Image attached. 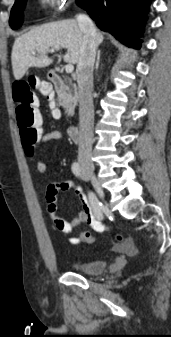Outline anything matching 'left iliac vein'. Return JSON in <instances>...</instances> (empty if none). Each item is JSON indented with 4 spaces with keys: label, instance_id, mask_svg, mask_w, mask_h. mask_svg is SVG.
I'll return each mask as SVG.
<instances>
[{
    "label": "left iliac vein",
    "instance_id": "left-iliac-vein-1",
    "mask_svg": "<svg viewBox=\"0 0 171 337\" xmlns=\"http://www.w3.org/2000/svg\"><path fill=\"white\" fill-rule=\"evenodd\" d=\"M82 178L84 179V180H87L88 179V177L86 176V174L83 172L82 173Z\"/></svg>",
    "mask_w": 171,
    "mask_h": 337
}]
</instances>
